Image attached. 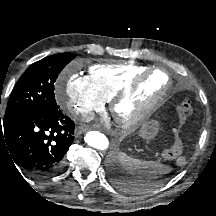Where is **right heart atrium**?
I'll return each instance as SVG.
<instances>
[{"instance_id":"1","label":"right heart atrium","mask_w":216,"mask_h":216,"mask_svg":"<svg viewBox=\"0 0 216 216\" xmlns=\"http://www.w3.org/2000/svg\"><path fill=\"white\" fill-rule=\"evenodd\" d=\"M55 98L62 110L71 117L88 119L93 112L102 111L104 98L97 92L87 75L66 69L58 78Z\"/></svg>"}]
</instances>
